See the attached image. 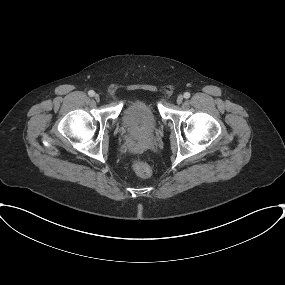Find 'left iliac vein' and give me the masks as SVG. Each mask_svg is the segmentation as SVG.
<instances>
[{
    "mask_svg": "<svg viewBox=\"0 0 285 285\" xmlns=\"http://www.w3.org/2000/svg\"><path fill=\"white\" fill-rule=\"evenodd\" d=\"M177 104H181L183 102V96L179 95L176 100Z\"/></svg>",
    "mask_w": 285,
    "mask_h": 285,
    "instance_id": "4c4485c4",
    "label": "left iliac vein"
}]
</instances>
